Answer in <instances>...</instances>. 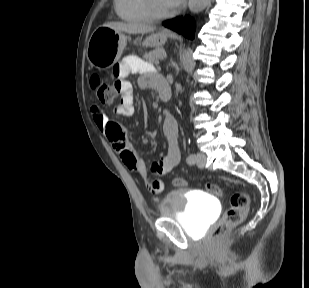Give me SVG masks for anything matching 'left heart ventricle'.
I'll list each match as a JSON object with an SVG mask.
<instances>
[{
    "label": "left heart ventricle",
    "mask_w": 309,
    "mask_h": 288,
    "mask_svg": "<svg viewBox=\"0 0 309 288\" xmlns=\"http://www.w3.org/2000/svg\"><path fill=\"white\" fill-rule=\"evenodd\" d=\"M157 1H158V6L160 7V9L165 10V11L172 9L166 0H157Z\"/></svg>",
    "instance_id": "b2bd125f"
}]
</instances>
